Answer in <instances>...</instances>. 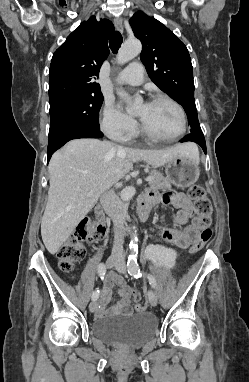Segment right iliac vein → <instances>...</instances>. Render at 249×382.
<instances>
[{"instance_id": "right-iliac-vein-1", "label": "right iliac vein", "mask_w": 249, "mask_h": 382, "mask_svg": "<svg viewBox=\"0 0 249 382\" xmlns=\"http://www.w3.org/2000/svg\"><path fill=\"white\" fill-rule=\"evenodd\" d=\"M118 260H119V258H118L117 256H114V255L108 257L107 260H106V266H107V268H112V267L116 264V262H117ZM97 306H98L97 301H96V300H93V301L90 303V305H89V310H90V312H95L96 309H97Z\"/></svg>"}]
</instances>
